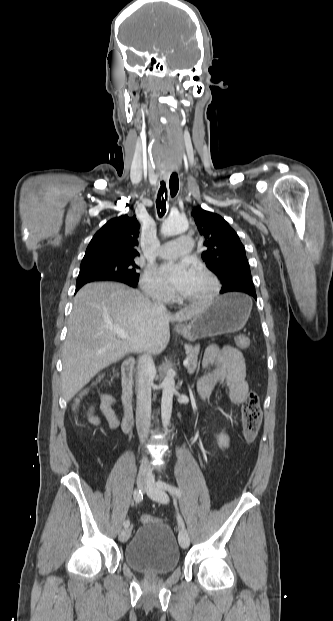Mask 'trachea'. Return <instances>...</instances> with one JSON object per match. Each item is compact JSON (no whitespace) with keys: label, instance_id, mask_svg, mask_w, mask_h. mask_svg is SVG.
<instances>
[{"label":"trachea","instance_id":"obj_1","mask_svg":"<svg viewBox=\"0 0 333 621\" xmlns=\"http://www.w3.org/2000/svg\"><path fill=\"white\" fill-rule=\"evenodd\" d=\"M161 186L158 191V196L156 200L157 212L160 217H162L166 212V199H167V190L164 181H161ZM165 197V198H164Z\"/></svg>","mask_w":333,"mask_h":621}]
</instances>
